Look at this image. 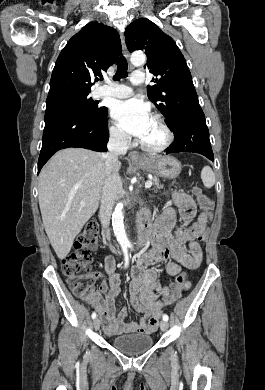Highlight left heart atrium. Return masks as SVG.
<instances>
[{
    "instance_id": "1",
    "label": "left heart atrium",
    "mask_w": 265,
    "mask_h": 390,
    "mask_svg": "<svg viewBox=\"0 0 265 390\" xmlns=\"http://www.w3.org/2000/svg\"><path fill=\"white\" fill-rule=\"evenodd\" d=\"M112 116L124 132L139 140L145 136L153 120L148 105L139 99L116 102Z\"/></svg>"
}]
</instances>
